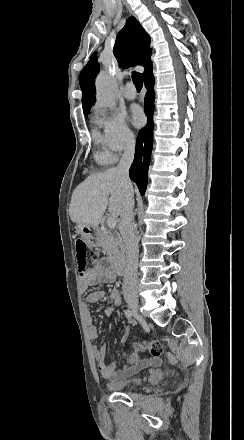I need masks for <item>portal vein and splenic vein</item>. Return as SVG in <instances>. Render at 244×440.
Returning <instances> with one entry per match:
<instances>
[{"label": "portal vein and splenic vein", "instance_id": "portal-vein-and-splenic-vein-1", "mask_svg": "<svg viewBox=\"0 0 244 440\" xmlns=\"http://www.w3.org/2000/svg\"><path fill=\"white\" fill-rule=\"evenodd\" d=\"M107 226H108V228H115V226H116V218H108Z\"/></svg>", "mask_w": 244, "mask_h": 440}]
</instances>
